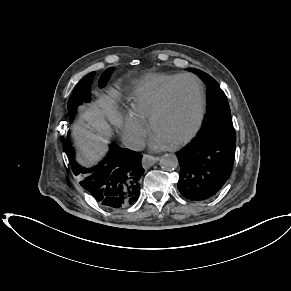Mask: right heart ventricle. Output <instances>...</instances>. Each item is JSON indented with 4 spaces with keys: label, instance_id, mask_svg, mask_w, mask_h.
Returning <instances> with one entry per match:
<instances>
[{
    "label": "right heart ventricle",
    "instance_id": "1",
    "mask_svg": "<svg viewBox=\"0 0 291 291\" xmlns=\"http://www.w3.org/2000/svg\"><path fill=\"white\" fill-rule=\"evenodd\" d=\"M180 75L156 74L143 78L136 86L130 103L131 114L141 121L149 120L167 88Z\"/></svg>",
    "mask_w": 291,
    "mask_h": 291
}]
</instances>
